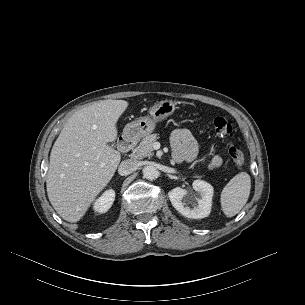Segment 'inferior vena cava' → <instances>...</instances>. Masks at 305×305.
<instances>
[{"label":"inferior vena cava","instance_id":"inferior-vena-cava-1","mask_svg":"<svg viewBox=\"0 0 305 305\" xmlns=\"http://www.w3.org/2000/svg\"><path fill=\"white\" fill-rule=\"evenodd\" d=\"M138 168V162L133 159H127L124 160L120 163L119 168H118V173L121 176H127L134 171H136Z\"/></svg>","mask_w":305,"mask_h":305}]
</instances>
